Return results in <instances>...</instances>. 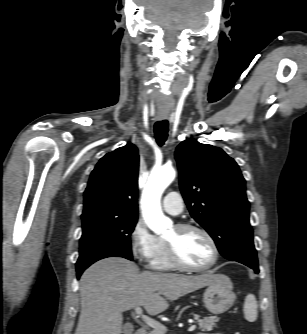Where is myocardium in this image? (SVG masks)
Masks as SVG:
<instances>
[{"label": "myocardium", "mask_w": 307, "mask_h": 334, "mask_svg": "<svg viewBox=\"0 0 307 334\" xmlns=\"http://www.w3.org/2000/svg\"><path fill=\"white\" fill-rule=\"evenodd\" d=\"M175 228L179 231L196 230L202 233L205 236V238L208 240V242L210 243L211 248H212V253H213L211 260L207 264L203 266H191L185 263L181 259V257L179 256L176 250L175 245L165 240V245H166L169 259L176 268L180 270H184V271L200 272V271H205V270L212 268L217 263L219 259V248H218V245L214 237L211 235V233L207 229H205L204 227L198 224H193V223H180V224H177Z\"/></svg>", "instance_id": "f54148a6"}]
</instances>
